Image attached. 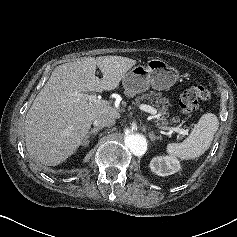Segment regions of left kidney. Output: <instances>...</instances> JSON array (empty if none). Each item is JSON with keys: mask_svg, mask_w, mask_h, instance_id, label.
Instances as JSON below:
<instances>
[{"mask_svg": "<svg viewBox=\"0 0 237 237\" xmlns=\"http://www.w3.org/2000/svg\"><path fill=\"white\" fill-rule=\"evenodd\" d=\"M152 172L159 176H169L181 169L179 161L173 156H157L150 162Z\"/></svg>", "mask_w": 237, "mask_h": 237, "instance_id": "obj_1", "label": "left kidney"}]
</instances>
